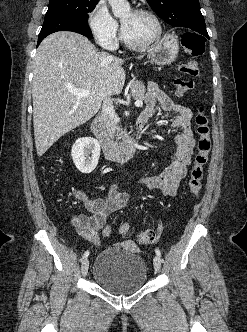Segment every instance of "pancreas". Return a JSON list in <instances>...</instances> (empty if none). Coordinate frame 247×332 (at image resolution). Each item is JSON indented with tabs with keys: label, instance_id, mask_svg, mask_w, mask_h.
<instances>
[{
	"label": "pancreas",
	"instance_id": "obj_1",
	"mask_svg": "<svg viewBox=\"0 0 247 332\" xmlns=\"http://www.w3.org/2000/svg\"><path fill=\"white\" fill-rule=\"evenodd\" d=\"M131 93L132 96L135 100H144L145 99V86L144 84H142L141 82H134L131 85ZM118 132H119V139H127V134L125 132L122 131L121 128H117Z\"/></svg>",
	"mask_w": 247,
	"mask_h": 332
}]
</instances>
